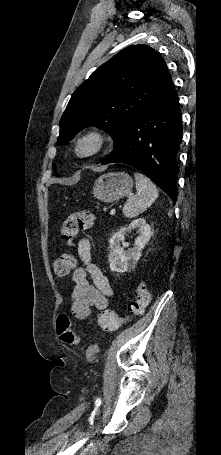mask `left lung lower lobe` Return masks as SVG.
Instances as JSON below:
<instances>
[{"mask_svg": "<svg viewBox=\"0 0 221 455\" xmlns=\"http://www.w3.org/2000/svg\"><path fill=\"white\" fill-rule=\"evenodd\" d=\"M181 138L179 100L171 79L131 122L102 164L120 162L133 166L176 201V156Z\"/></svg>", "mask_w": 221, "mask_h": 455, "instance_id": "obj_1", "label": "left lung lower lobe"}]
</instances>
